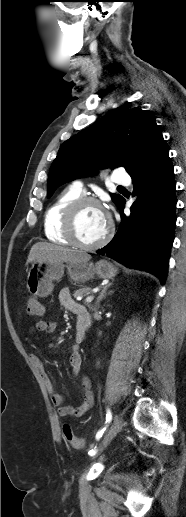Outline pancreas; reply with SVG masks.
<instances>
[{
    "label": "pancreas",
    "instance_id": "pancreas-1",
    "mask_svg": "<svg viewBox=\"0 0 186 517\" xmlns=\"http://www.w3.org/2000/svg\"><path fill=\"white\" fill-rule=\"evenodd\" d=\"M90 290H91V288H90V287H83V288H80V289H78V290L74 291L73 296H74V298H77L78 296H82V295L86 294V293H87V292H89Z\"/></svg>",
    "mask_w": 186,
    "mask_h": 517
}]
</instances>
